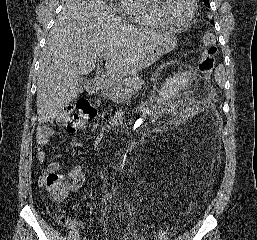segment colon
<instances>
[{"label":"colon","instance_id":"5ec220e1","mask_svg":"<svg viewBox=\"0 0 257 240\" xmlns=\"http://www.w3.org/2000/svg\"><path fill=\"white\" fill-rule=\"evenodd\" d=\"M216 64V39L213 33H205L200 41V60L199 69L205 75H211ZM97 110L95 106L87 101L81 100L76 104L75 111L69 122V128L76 131L83 127L84 123L95 117ZM44 131H51L52 124L47 123L41 127ZM41 183L47 188L52 199L62 201L68 194L70 184L67 180L56 172L48 173L41 178ZM60 223H65L61 217L58 218Z\"/></svg>","mask_w":257,"mask_h":240}]
</instances>
